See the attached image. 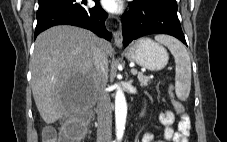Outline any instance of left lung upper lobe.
<instances>
[{
  "label": "left lung upper lobe",
  "mask_w": 227,
  "mask_h": 142,
  "mask_svg": "<svg viewBox=\"0 0 227 142\" xmlns=\"http://www.w3.org/2000/svg\"><path fill=\"white\" fill-rule=\"evenodd\" d=\"M144 1H146V0H133L132 3H142ZM165 1L173 3V4H177L176 0H165Z\"/></svg>",
  "instance_id": "left-lung-upper-lobe-1"
}]
</instances>
